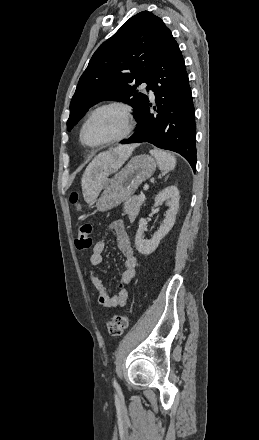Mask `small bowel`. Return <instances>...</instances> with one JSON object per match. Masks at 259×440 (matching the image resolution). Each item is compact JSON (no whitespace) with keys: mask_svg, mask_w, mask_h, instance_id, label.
Segmentation results:
<instances>
[{"mask_svg":"<svg viewBox=\"0 0 259 440\" xmlns=\"http://www.w3.org/2000/svg\"><path fill=\"white\" fill-rule=\"evenodd\" d=\"M109 229L114 232L117 247L124 258L117 295H110L107 292L102 279L93 268L89 270L88 275L90 281L98 291V303L105 308L111 309L123 307L127 304L129 299L127 286L131 285L135 279L137 258L134 254L124 222L122 220H114L110 223ZM104 250L105 242L103 240H99L94 244L90 255L91 267L99 266L102 263Z\"/></svg>","mask_w":259,"mask_h":440,"instance_id":"c3829d8e","label":"small bowel"}]
</instances>
